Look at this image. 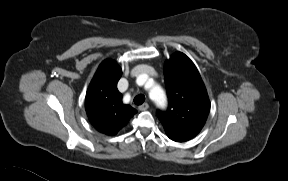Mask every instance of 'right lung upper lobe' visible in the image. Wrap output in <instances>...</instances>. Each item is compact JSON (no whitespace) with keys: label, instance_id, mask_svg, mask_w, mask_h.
Instances as JSON below:
<instances>
[{"label":"right lung upper lobe","instance_id":"obj_1","mask_svg":"<svg viewBox=\"0 0 288 181\" xmlns=\"http://www.w3.org/2000/svg\"><path fill=\"white\" fill-rule=\"evenodd\" d=\"M121 75V68L115 61H103L86 93L87 116L99 132L107 135H115L137 112L122 103V95L117 89Z\"/></svg>","mask_w":288,"mask_h":181}]
</instances>
